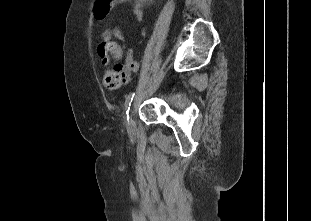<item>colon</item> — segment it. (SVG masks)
I'll use <instances>...</instances> for the list:
<instances>
[{
	"label": "colon",
	"instance_id": "colon-1",
	"mask_svg": "<svg viewBox=\"0 0 311 221\" xmlns=\"http://www.w3.org/2000/svg\"><path fill=\"white\" fill-rule=\"evenodd\" d=\"M111 4H116V0H98L94 2V17H96L97 22H104L105 17H110V12L114 11V6ZM99 55L102 59L107 62V69L104 74V81L107 87L118 86L119 80L124 76V71L120 67L110 66L109 56H114L115 59L120 57V50L118 46L108 38L103 41L98 49Z\"/></svg>",
	"mask_w": 311,
	"mask_h": 221
}]
</instances>
